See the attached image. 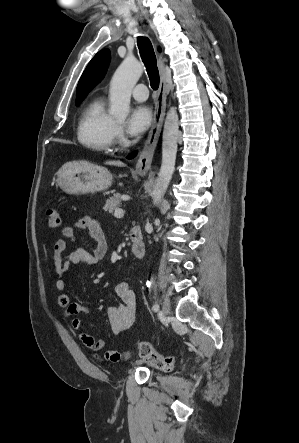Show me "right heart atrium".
Returning a JSON list of instances; mask_svg holds the SVG:
<instances>
[{
	"instance_id": "1",
	"label": "right heart atrium",
	"mask_w": 299,
	"mask_h": 443,
	"mask_svg": "<svg viewBox=\"0 0 299 443\" xmlns=\"http://www.w3.org/2000/svg\"><path fill=\"white\" fill-rule=\"evenodd\" d=\"M115 135L116 136L122 135V128L119 125L116 126Z\"/></svg>"
}]
</instances>
